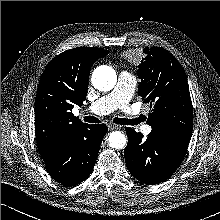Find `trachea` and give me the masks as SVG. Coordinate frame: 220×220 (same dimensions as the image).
Here are the masks:
<instances>
[{"label":"trachea","instance_id":"1","mask_svg":"<svg viewBox=\"0 0 220 220\" xmlns=\"http://www.w3.org/2000/svg\"><path fill=\"white\" fill-rule=\"evenodd\" d=\"M85 122H89V123H99L101 122L98 118L94 117V116H86L84 118ZM114 123L116 124H120V125H137L141 122V119H124V118H115L113 120Z\"/></svg>","mask_w":220,"mask_h":220}]
</instances>
